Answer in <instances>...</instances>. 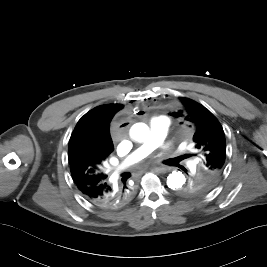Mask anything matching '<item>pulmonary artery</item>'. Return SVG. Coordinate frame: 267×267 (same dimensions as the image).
<instances>
[{
  "instance_id": "pulmonary-artery-1",
  "label": "pulmonary artery",
  "mask_w": 267,
  "mask_h": 267,
  "mask_svg": "<svg viewBox=\"0 0 267 267\" xmlns=\"http://www.w3.org/2000/svg\"><path fill=\"white\" fill-rule=\"evenodd\" d=\"M170 127L169 119L166 116L154 117L149 123L150 134L135 151H133L124 162H122L117 170L121 171L126 167L142 160L152 153L156 148L163 145L164 139L168 134Z\"/></svg>"
}]
</instances>
